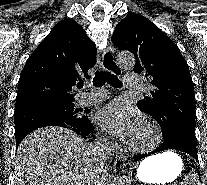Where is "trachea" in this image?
Listing matches in <instances>:
<instances>
[{
    "label": "trachea",
    "mask_w": 207,
    "mask_h": 185,
    "mask_svg": "<svg viewBox=\"0 0 207 185\" xmlns=\"http://www.w3.org/2000/svg\"><path fill=\"white\" fill-rule=\"evenodd\" d=\"M107 68V67H106ZM106 82H108L112 87L120 88L122 87V82L115 77V75H112L110 72H96V75L93 80V84L96 87H102ZM83 85L80 84L79 88H81Z\"/></svg>",
    "instance_id": "obj_1"
}]
</instances>
